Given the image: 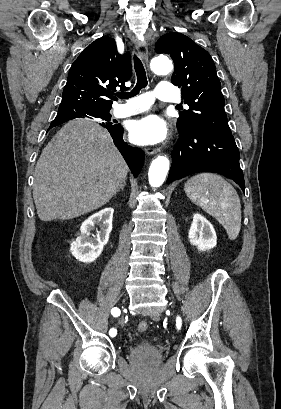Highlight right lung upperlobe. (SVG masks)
I'll use <instances>...</instances> for the list:
<instances>
[{
  "label": "right lung upper lobe",
  "mask_w": 281,
  "mask_h": 409,
  "mask_svg": "<svg viewBox=\"0 0 281 409\" xmlns=\"http://www.w3.org/2000/svg\"><path fill=\"white\" fill-rule=\"evenodd\" d=\"M131 75L129 54H118L115 40L101 37L72 64L59 110L109 112L116 87L126 88L124 83Z\"/></svg>",
  "instance_id": "cb5924a9"
}]
</instances>
